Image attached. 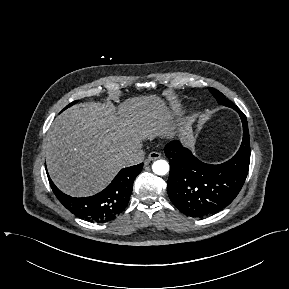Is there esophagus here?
<instances>
[{
	"label": "esophagus",
	"instance_id": "1",
	"mask_svg": "<svg viewBox=\"0 0 289 289\" xmlns=\"http://www.w3.org/2000/svg\"><path fill=\"white\" fill-rule=\"evenodd\" d=\"M161 158V154L159 152H151L149 155H148V160L149 161H153V160H156V159H159Z\"/></svg>",
	"mask_w": 289,
	"mask_h": 289
}]
</instances>
